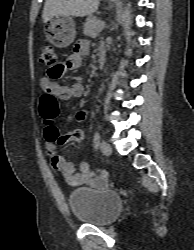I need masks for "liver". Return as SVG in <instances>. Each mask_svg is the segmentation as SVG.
Listing matches in <instances>:
<instances>
[{
  "label": "liver",
  "instance_id": "obj_1",
  "mask_svg": "<svg viewBox=\"0 0 194 250\" xmlns=\"http://www.w3.org/2000/svg\"><path fill=\"white\" fill-rule=\"evenodd\" d=\"M99 6V0H46L42 19L47 23L53 16H91Z\"/></svg>",
  "mask_w": 194,
  "mask_h": 250
}]
</instances>
